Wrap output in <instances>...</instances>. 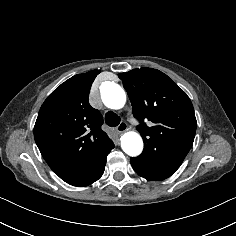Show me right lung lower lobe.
Listing matches in <instances>:
<instances>
[{
    "label": "right lung lower lobe",
    "mask_w": 236,
    "mask_h": 236,
    "mask_svg": "<svg viewBox=\"0 0 236 236\" xmlns=\"http://www.w3.org/2000/svg\"><path fill=\"white\" fill-rule=\"evenodd\" d=\"M113 148L114 145L104 153V155L92 167L80 171L62 173L58 176L63 181L73 186L80 187L92 184L102 176L106 165V157Z\"/></svg>",
    "instance_id": "98d812e1"
}]
</instances>
